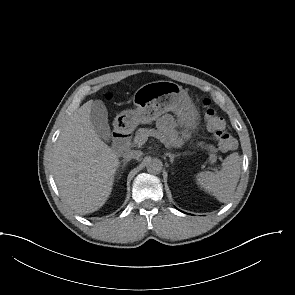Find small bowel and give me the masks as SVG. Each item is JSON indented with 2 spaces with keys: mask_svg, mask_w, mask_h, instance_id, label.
<instances>
[{
  "mask_svg": "<svg viewBox=\"0 0 295 295\" xmlns=\"http://www.w3.org/2000/svg\"><path fill=\"white\" fill-rule=\"evenodd\" d=\"M158 125L162 130L173 132L175 129V123L169 116H163L159 119Z\"/></svg>",
  "mask_w": 295,
  "mask_h": 295,
  "instance_id": "c3829d8e",
  "label": "small bowel"
}]
</instances>
